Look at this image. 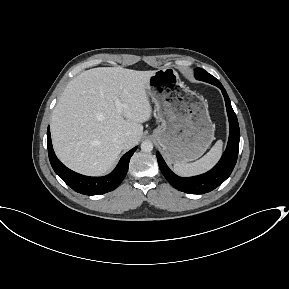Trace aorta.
Listing matches in <instances>:
<instances>
[{"instance_id":"762f6f07","label":"aorta","mask_w":289,"mask_h":289,"mask_svg":"<svg viewBox=\"0 0 289 289\" xmlns=\"http://www.w3.org/2000/svg\"><path fill=\"white\" fill-rule=\"evenodd\" d=\"M141 150L144 152H151L153 150V143L149 140H145L141 143Z\"/></svg>"}]
</instances>
